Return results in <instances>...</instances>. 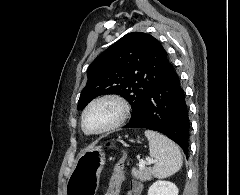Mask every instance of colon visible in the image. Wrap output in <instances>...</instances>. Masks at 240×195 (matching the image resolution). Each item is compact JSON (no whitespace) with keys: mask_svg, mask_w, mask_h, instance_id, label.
<instances>
[{"mask_svg":"<svg viewBox=\"0 0 240 195\" xmlns=\"http://www.w3.org/2000/svg\"><path fill=\"white\" fill-rule=\"evenodd\" d=\"M122 171L121 165H116L113 172L110 174V187L107 188V193L109 195H118L120 183L122 181Z\"/></svg>","mask_w":240,"mask_h":195,"instance_id":"colon-1","label":"colon"}]
</instances>
